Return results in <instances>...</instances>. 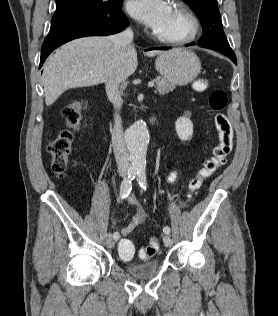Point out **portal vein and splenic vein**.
Returning a JSON list of instances; mask_svg holds the SVG:
<instances>
[{"instance_id": "portal-vein-and-splenic-vein-1", "label": "portal vein and splenic vein", "mask_w": 278, "mask_h": 316, "mask_svg": "<svg viewBox=\"0 0 278 316\" xmlns=\"http://www.w3.org/2000/svg\"><path fill=\"white\" fill-rule=\"evenodd\" d=\"M153 86H154V82H149V83H148V87L151 88V87H153Z\"/></svg>"}]
</instances>
